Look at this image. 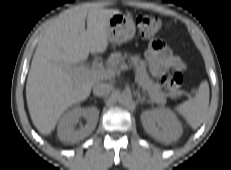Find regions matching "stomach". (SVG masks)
Instances as JSON below:
<instances>
[{"label": "stomach", "instance_id": "obj_1", "mask_svg": "<svg viewBox=\"0 0 231 170\" xmlns=\"http://www.w3.org/2000/svg\"><path fill=\"white\" fill-rule=\"evenodd\" d=\"M135 30V24L129 14H115L109 19L108 22V41L113 44H121L127 42L134 37Z\"/></svg>", "mask_w": 231, "mask_h": 170}]
</instances>
